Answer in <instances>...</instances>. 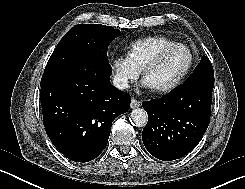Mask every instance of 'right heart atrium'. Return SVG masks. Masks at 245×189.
Masks as SVG:
<instances>
[{
    "label": "right heart atrium",
    "mask_w": 245,
    "mask_h": 189,
    "mask_svg": "<svg viewBox=\"0 0 245 189\" xmlns=\"http://www.w3.org/2000/svg\"><path fill=\"white\" fill-rule=\"evenodd\" d=\"M111 71L115 84L122 90L128 88L139 75V70L131 64L127 56L114 58L111 62Z\"/></svg>",
    "instance_id": "obj_1"
}]
</instances>
